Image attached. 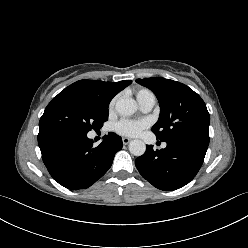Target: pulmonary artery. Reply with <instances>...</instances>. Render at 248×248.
<instances>
[{
	"instance_id": "pulmonary-artery-1",
	"label": "pulmonary artery",
	"mask_w": 248,
	"mask_h": 248,
	"mask_svg": "<svg viewBox=\"0 0 248 248\" xmlns=\"http://www.w3.org/2000/svg\"><path fill=\"white\" fill-rule=\"evenodd\" d=\"M139 103H140L141 109L144 112H149L154 107L156 103V99L155 97H148Z\"/></svg>"
}]
</instances>
